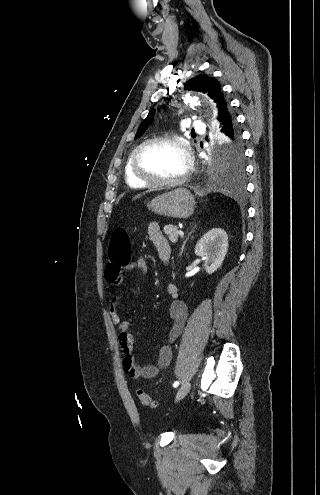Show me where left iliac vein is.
<instances>
[{"label": "left iliac vein", "instance_id": "obj_1", "mask_svg": "<svg viewBox=\"0 0 320 495\" xmlns=\"http://www.w3.org/2000/svg\"><path fill=\"white\" fill-rule=\"evenodd\" d=\"M190 388H191L190 382L183 383L182 386L177 391L175 400L179 401L182 398H184L187 395V393L190 391Z\"/></svg>", "mask_w": 320, "mask_h": 495}]
</instances>
